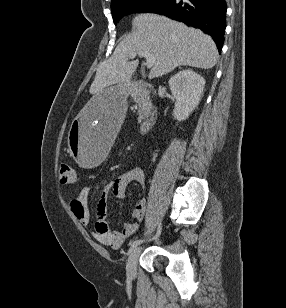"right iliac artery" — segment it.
Listing matches in <instances>:
<instances>
[{
  "instance_id": "1",
  "label": "right iliac artery",
  "mask_w": 286,
  "mask_h": 308,
  "mask_svg": "<svg viewBox=\"0 0 286 308\" xmlns=\"http://www.w3.org/2000/svg\"><path fill=\"white\" fill-rule=\"evenodd\" d=\"M160 225H161V224H159V226H158V231H157V233H156V235H155V238L158 237V236L160 235V233H161V226H160ZM142 242H143L142 239H135V240L131 243L130 249L132 250L133 248H135L137 245L141 244Z\"/></svg>"
}]
</instances>
